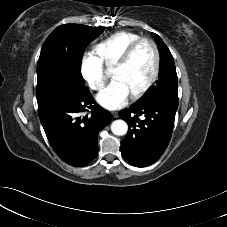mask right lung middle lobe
I'll return each mask as SVG.
<instances>
[{
	"label": "right lung middle lobe",
	"instance_id": "dd1d6c3e",
	"mask_svg": "<svg viewBox=\"0 0 227 227\" xmlns=\"http://www.w3.org/2000/svg\"><path fill=\"white\" fill-rule=\"evenodd\" d=\"M103 30V27L64 24L48 36L37 63V101L61 87L84 86L81 75L84 50Z\"/></svg>",
	"mask_w": 227,
	"mask_h": 227
}]
</instances>
